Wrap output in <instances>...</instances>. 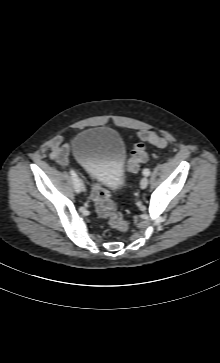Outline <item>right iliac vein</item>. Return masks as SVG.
Returning a JSON list of instances; mask_svg holds the SVG:
<instances>
[{"instance_id": "1", "label": "right iliac vein", "mask_w": 220, "mask_h": 363, "mask_svg": "<svg viewBox=\"0 0 220 363\" xmlns=\"http://www.w3.org/2000/svg\"><path fill=\"white\" fill-rule=\"evenodd\" d=\"M79 189H80V191H84V189H85L82 179H79Z\"/></svg>"}]
</instances>
